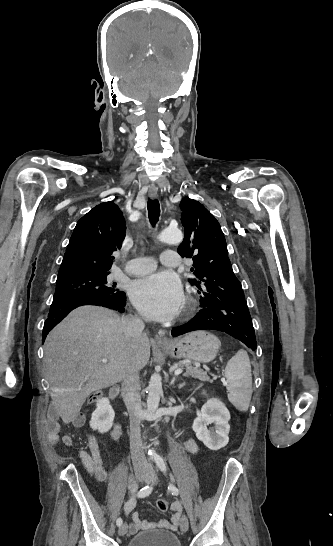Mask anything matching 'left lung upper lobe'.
<instances>
[{"instance_id":"5c2ea615","label":"left lung upper lobe","mask_w":333,"mask_h":546,"mask_svg":"<svg viewBox=\"0 0 333 546\" xmlns=\"http://www.w3.org/2000/svg\"><path fill=\"white\" fill-rule=\"evenodd\" d=\"M180 207L185 235L178 253L193 259L191 271L197 277L189 282L198 287L200 297L245 300L241 283L233 273L219 222L196 200L182 199Z\"/></svg>"}]
</instances>
